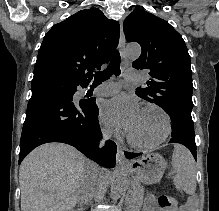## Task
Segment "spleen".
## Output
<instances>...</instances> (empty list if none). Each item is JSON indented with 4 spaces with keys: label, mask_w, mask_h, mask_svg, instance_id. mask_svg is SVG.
Listing matches in <instances>:
<instances>
[{
    "label": "spleen",
    "mask_w": 219,
    "mask_h": 211,
    "mask_svg": "<svg viewBox=\"0 0 219 211\" xmlns=\"http://www.w3.org/2000/svg\"><path fill=\"white\" fill-rule=\"evenodd\" d=\"M172 167L173 181L177 189H183L185 193H195L196 167L194 157H192L189 149L181 143H175L174 145Z\"/></svg>",
    "instance_id": "spleen-1"
}]
</instances>
